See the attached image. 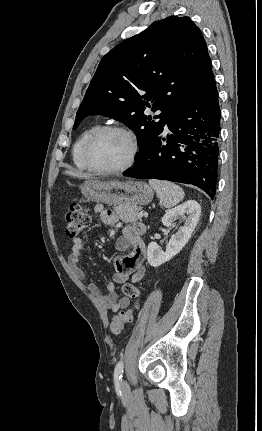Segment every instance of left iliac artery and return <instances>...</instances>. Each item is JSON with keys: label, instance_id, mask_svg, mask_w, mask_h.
<instances>
[{"label": "left iliac artery", "instance_id": "44dca946", "mask_svg": "<svg viewBox=\"0 0 262 431\" xmlns=\"http://www.w3.org/2000/svg\"><path fill=\"white\" fill-rule=\"evenodd\" d=\"M123 367H124V363L122 360H120L116 367H115V371H114V380L116 384H119V381L122 378V374H123Z\"/></svg>", "mask_w": 262, "mask_h": 431}]
</instances>
